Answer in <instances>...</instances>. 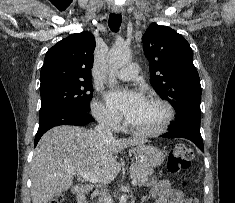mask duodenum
I'll return each mask as SVG.
<instances>
[{
    "label": "duodenum",
    "instance_id": "410a0bca",
    "mask_svg": "<svg viewBox=\"0 0 235 203\" xmlns=\"http://www.w3.org/2000/svg\"><path fill=\"white\" fill-rule=\"evenodd\" d=\"M77 203H87L86 195L83 193H80L77 197Z\"/></svg>",
    "mask_w": 235,
    "mask_h": 203
}]
</instances>
